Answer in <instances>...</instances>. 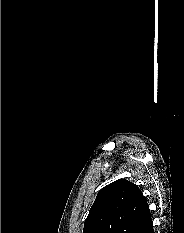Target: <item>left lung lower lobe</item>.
<instances>
[{
	"instance_id": "obj_1",
	"label": "left lung lower lobe",
	"mask_w": 184,
	"mask_h": 233,
	"mask_svg": "<svg viewBox=\"0 0 184 233\" xmlns=\"http://www.w3.org/2000/svg\"><path fill=\"white\" fill-rule=\"evenodd\" d=\"M144 233H154L152 219H150V222H149L148 226L146 227Z\"/></svg>"
}]
</instances>
